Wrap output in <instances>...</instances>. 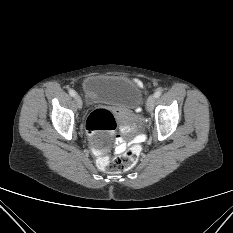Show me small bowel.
Returning a JSON list of instances; mask_svg holds the SVG:
<instances>
[{
	"label": "small bowel",
	"mask_w": 233,
	"mask_h": 233,
	"mask_svg": "<svg viewBox=\"0 0 233 233\" xmlns=\"http://www.w3.org/2000/svg\"><path fill=\"white\" fill-rule=\"evenodd\" d=\"M136 83H137L140 87H143V83H142L141 81L136 80ZM125 148H126V143L124 142V140L121 139V138H118V139H117V144H116L115 151H116L117 153H121V152H123V151L125 150Z\"/></svg>",
	"instance_id": "small-bowel-1"
}]
</instances>
